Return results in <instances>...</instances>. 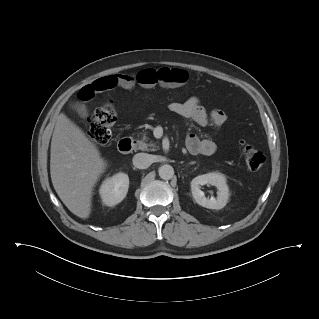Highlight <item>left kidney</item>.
<instances>
[{
    "label": "left kidney",
    "instance_id": "left-kidney-1",
    "mask_svg": "<svg viewBox=\"0 0 319 319\" xmlns=\"http://www.w3.org/2000/svg\"><path fill=\"white\" fill-rule=\"evenodd\" d=\"M210 184L218 189L217 198H206L201 186ZM191 191L195 201L208 209H222L228 202L229 189L226 178L221 173L211 172L195 177L191 181Z\"/></svg>",
    "mask_w": 319,
    "mask_h": 319
}]
</instances>
